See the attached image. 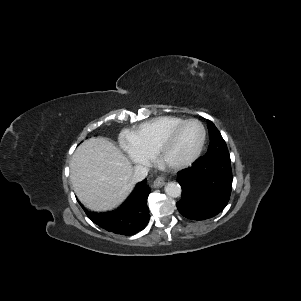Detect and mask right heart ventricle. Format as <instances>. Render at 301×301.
<instances>
[{"mask_svg": "<svg viewBox=\"0 0 301 301\" xmlns=\"http://www.w3.org/2000/svg\"><path fill=\"white\" fill-rule=\"evenodd\" d=\"M185 119L176 116H161L135 126L127 136L142 151L153 155L160 138Z\"/></svg>", "mask_w": 301, "mask_h": 301, "instance_id": "e07e8e85", "label": "right heart ventricle"}]
</instances>
